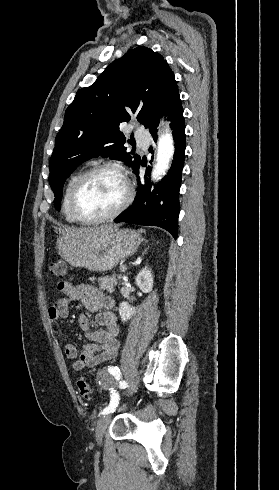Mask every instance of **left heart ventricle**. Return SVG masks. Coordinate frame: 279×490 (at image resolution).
<instances>
[{
    "label": "left heart ventricle",
    "instance_id": "1",
    "mask_svg": "<svg viewBox=\"0 0 279 490\" xmlns=\"http://www.w3.org/2000/svg\"><path fill=\"white\" fill-rule=\"evenodd\" d=\"M124 196L125 188L117 174L98 173L87 181L79 196V214L86 219L103 216L115 210Z\"/></svg>",
    "mask_w": 279,
    "mask_h": 490
}]
</instances>
